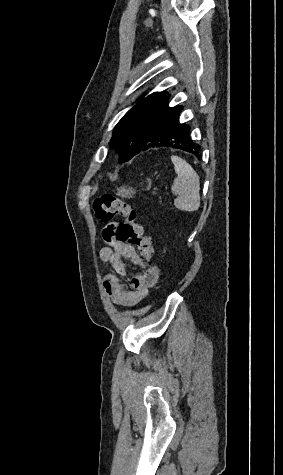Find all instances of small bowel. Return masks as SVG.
<instances>
[{"instance_id": "obj_1", "label": "small bowel", "mask_w": 283, "mask_h": 475, "mask_svg": "<svg viewBox=\"0 0 283 475\" xmlns=\"http://www.w3.org/2000/svg\"><path fill=\"white\" fill-rule=\"evenodd\" d=\"M101 233L102 242L106 245L100 250L99 257L112 271L109 273L102 271L104 290L113 303L122 307H133L157 283L160 268L155 264L153 271H143L134 276L130 286H127L121 280L127 275L123 259H130L139 267V254L131 244L115 240L118 235L116 219H106Z\"/></svg>"}]
</instances>
